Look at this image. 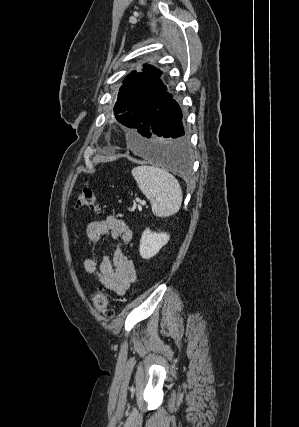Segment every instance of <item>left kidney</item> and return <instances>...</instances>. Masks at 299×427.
<instances>
[{
    "instance_id": "obj_1",
    "label": "left kidney",
    "mask_w": 299,
    "mask_h": 427,
    "mask_svg": "<svg viewBox=\"0 0 299 427\" xmlns=\"http://www.w3.org/2000/svg\"><path fill=\"white\" fill-rule=\"evenodd\" d=\"M170 235L167 233L152 232L147 228L140 239L139 252L142 258L150 259L155 256L160 249L168 243Z\"/></svg>"
}]
</instances>
